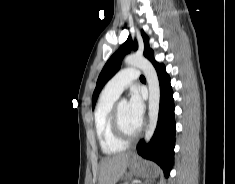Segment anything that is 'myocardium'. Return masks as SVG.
I'll return each instance as SVG.
<instances>
[{
  "mask_svg": "<svg viewBox=\"0 0 235 184\" xmlns=\"http://www.w3.org/2000/svg\"><path fill=\"white\" fill-rule=\"evenodd\" d=\"M111 122L114 133L119 139L124 142H135L142 136L143 124L140 126L139 130L134 135H129L123 130L119 119L118 104L114 105L112 109Z\"/></svg>",
  "mask_w": 235,
  "mask_h": 184,
  "instance_id": "obj_1",
  "label": "myocardium"
}]
</instances>
